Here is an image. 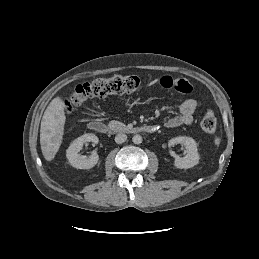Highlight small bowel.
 Segmentation results:
<instances>
[{
  "instance_id": "1",
  "label": "small bowel",
  "mask_w": 259,
  "mask_h": 259,
  "mask_svg": "<svg viewBox=\"0 0 259 259\" xmlns=\"http://www.w3.org/2000/svg\"><path fill=\"white\" fill-rule=\"evenodd\" d=\"M199 103L195 99L184 100L179 108V113L170 117L166 122L167 128H176L182 125H190L193 122V115L199 108Z\"/></svg>"
}]
</instances>
